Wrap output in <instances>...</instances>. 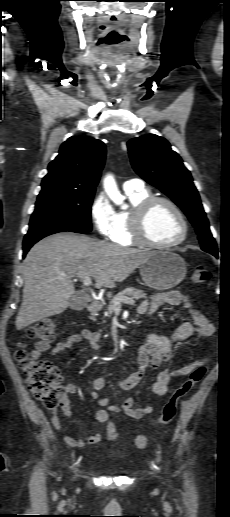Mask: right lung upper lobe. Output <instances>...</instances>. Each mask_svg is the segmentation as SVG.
<instances>
[{"instance_id": "right-lung-upper-lobe-1", "label": "right lung upper lobe", "mask_w": 230, "mask_h": 517, "mask_svg": "<svg viewBox=\"0 0 230 517\" xmlns=\"http://www.w3.org/2000/svg\"><path fill=\"white\" fill-rule=\"evenodd\" d=\"M105 156L106 148L102 141L83 136L70 137L49 164L38 197L95 192Z\"/></svg>"}]
</instances>
